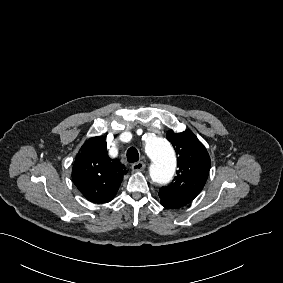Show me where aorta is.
Returning a JSON list of instances; mask_svg holds the SVG:
<instances>
[{
	"label": "aorta",
	"mask_w": 283,
	"mask_h": 283,
	"mask_svg": "<svg viewBox=\"0 0 283 283\" xmlns=\"http://www.w3.org/2000/svg\"><path fill=\"white\" fill-rule=\"evenodd\" d=\"M151 159L150 176L156 183H168L176 169V156L171 144L164 138L152 136L145 145Z\"/></svg>",
	"instance_id": "1"
}]
</instances>
